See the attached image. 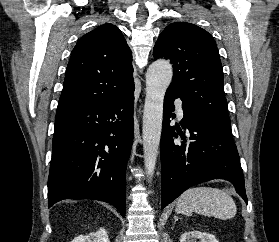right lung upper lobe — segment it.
Here are the masks:
<instances>
[{"label": "right lung upper lobe", "instance_id": "1", "mask_svg": "<svg viewBox=\"0 0 279 242\" xmlns=\"http://www.w3.org/2000/svg\"><path fill=\"white\" fill-rule=\"evenodd\" d=\"M132 73V54L119 28L97 27L72 51L56 113L127 96L134 90Z\"/></svg>", "mask_w": 279, "mask_h": 242}]
</instances>
